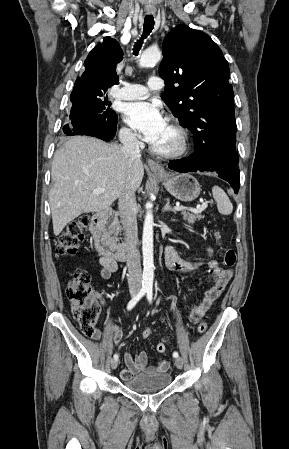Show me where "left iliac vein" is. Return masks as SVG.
Here are the masks:
<instances>
[{
	"label": "left iliac vein",
	"mask_w": 289,
	"mask_h": 449,
	"mask_svg": "<svg viewBox=\"0 0 289 449\" xmlns=\"http://www.w3.org/2000/svg\"><path fill=\"white\" fill-rule=\"evenodd\" d=\"M175 365H176V367H177L178 369H182V368H183V365H184L183 359H182L181 357L176 358V359H175Z\"/></svg>",
	"instance_id": "left-iliac-vein-1"
}]
</instances>
